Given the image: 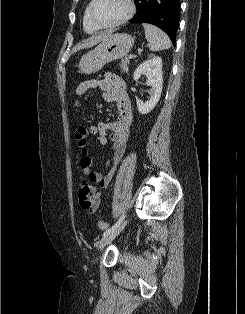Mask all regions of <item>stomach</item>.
Returning <instances> with one entry per match:
<instances>
[{"mask_svg":"<svg viewBox=\"0 0 245 314\" xmlns=\"http://www.w3.org/2000/svg\"><path fill=\"white\" fill-rule=\"evenodd\" d=\"M133 44L134 37L127 33L111 34L81 58L78 65L80 73L93 74L100 71L107 63L125 57Z\"/></svg>","mask_w":245,"mask_h":314,"instance_id":"0dacf381","label":"stomach"}]
</instances>
